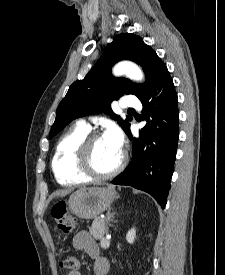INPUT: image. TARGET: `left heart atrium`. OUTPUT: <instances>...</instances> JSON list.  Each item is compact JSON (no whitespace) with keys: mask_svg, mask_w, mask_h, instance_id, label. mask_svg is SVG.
<instances>
[{"mask_svg":"<svg viewBox=\"0 0 225 275\" xmlns=\"http://www.w3.org/2000/svg\"><path fill=\"white\" fill-rule=\"evenodd\" d=\"M105 140L116 150L121 151L123 146V134L121 130L115 126L111 125L107 128L104 133Z\"/></svg>","mask_w":225,"mask_h":275,"instance_id":"39dd6f15","label":"left heart atrium"}]
</instances>
